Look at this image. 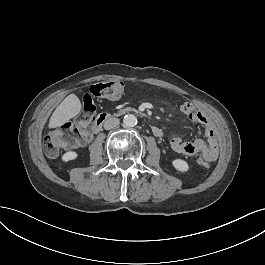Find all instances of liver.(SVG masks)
<instances>
[{
  "mask_svg": "<svg viewBox=\"0 0 265 265\" xmlns=\"http://www.w3.org/2000/svg\"><path fill=\"white\" fill-rule=\"evenodd\" d=\"M81 110V103L75 94L68 95L55 109L49 121V128L60 127L71 118L75 117Z\"/></svg>",
  "mask_w": 265,
  "mask_h": 265,
  "instance_id": "6515ba94",
  "label": "liver"
}]
</instances>
